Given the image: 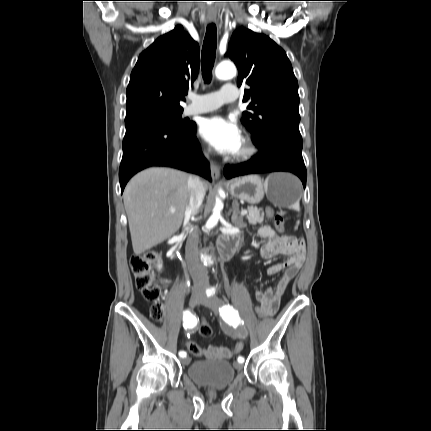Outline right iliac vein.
Instances as JSON below:
<instances>
[{"mask_svg":"<svg viewBox=\"0 0 431 431\" xmlns=\"http://www.w3.org/2000/svg\"><path fill=\"white\" fill-rule=\"evenodd\" d=\"M201 295H202V293L200 291H194L192 293V295L190 297V301H189V305H190L191 308H194L200 302ZM189 362H190V358L189 357H185L182 360V364L183 365H188Z\"/></svg>","mask_w":431,"mask_h":431,"instance_id":"right-iliac-vein-1","label":"right iliac vein"}]
</instances>
